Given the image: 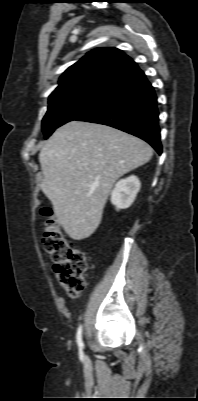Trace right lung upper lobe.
<instances>
[{
    "label": "right lung upper lobe",
    "mask_w": 198,
    "mask_h": 401,
    "mask_svg": "<svg viewBox=\"0 0 198 401\" xmlns=\"http://www.w3.org/2000/svg\"><path fill=\"white\" fill-rule=\"evenodd\" d=\"M138 70L136 63L121 50L97 48L88 52L62 74L59 86L49 98L87 87L110 89Z\"/></svg>",
    "instance_id": "1"
}]
</instances>
